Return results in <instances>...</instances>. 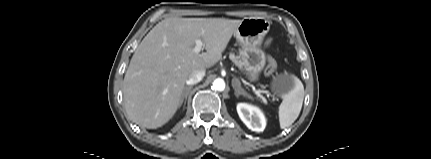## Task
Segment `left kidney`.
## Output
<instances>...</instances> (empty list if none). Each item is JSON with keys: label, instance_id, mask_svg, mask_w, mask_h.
<instances>
[{"label": "left kidney", "instance_id": "obj_1", "mask_svg": "<svg viewBox=\"0 0 431 159\" xmlns=\"http://www.w3.org/2000/svg\"><path fill=\"white\" fill-rule=\"evenodd\" d=\"M237 112L243 123L252 131L262 132L266 126V119L258 107L239 103Z\"/></svg>", "mask_w": 431, "mask_h": 159}]
</instances>
